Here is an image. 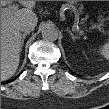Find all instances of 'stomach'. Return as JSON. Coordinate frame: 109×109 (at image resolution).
<instances>
[{"mask_svg":"<svg viewBox=\"0 0 109 109\" xmlns=\"http://www.w3.org/2000/svg\"><path fill=\"white\" fill-rule=\"evenodd\" d=\"M66 2H67V6L72 8L79 3V1H66Z\"/></svg>","mask_w":109,"mask_h":109,"instance_id":"0dacf381","label":"stomach"}]
</instances>
